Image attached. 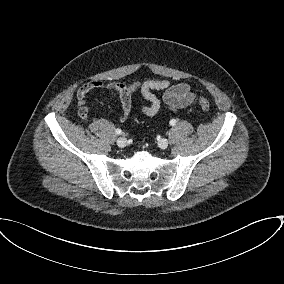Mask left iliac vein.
<instances>
[{
	"instance_id": "4c4485c4",
	"label": "left iliac vein",
	"mask_w": 284,
	"mask_h": 284,
	"mask_svg": "<svg viewBox=\"0 0 284 284\" xmlns=\"http://www.w3.org/2000/svg\"><path fill=\"white\" fill-rule=\"evenodd\" d=\"M168 140L165 139V138H162L159 142H158V145L161 149H166L168 147Z\"/></svg>"
}]
</instances>
